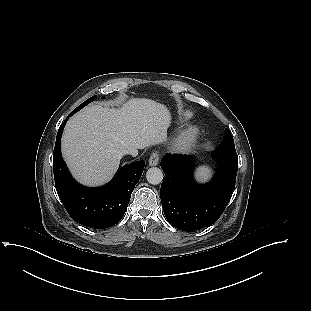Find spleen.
<instances>
[{
  "instance_id": "1",
  "label": "spleen",
  "mask_w": 311,
  "mask_h": 311,
  "mask_svg": "<svg viewBox=\"0 0 311 311\" xmlns=\"http://www.w3.org/2000/svg\"><path fill=\"white\" fill-rule=\"evenodd\" d=\"M211 174H212L211 168L206 165L199 166L195 172V176L197 180L200 182H206L207 180H209Z\"/></svg>"
}]
</instances>
